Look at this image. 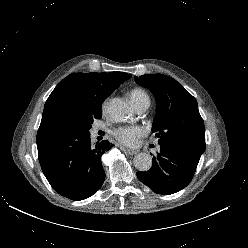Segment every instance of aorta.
<instances>
[{
  "label": "aorta",
  "instance_id": "762f6f07",
  "mask_svg": "<svg viewBox=\"0 0 248 248\" xmlns=\"http://www.w3.org/2000/svg\"><path fill=\"white\" fill-rule=\"evenodd\" d=\"M108 112L115 122H124L133 115V108L123 99L113 98L109 103ZM134 166L139 171H148L152 167V157L147 153H139L134 157Z\"/></svg>",
  "mask_w": 248,
  "mask_h": 248
}]
</instances>
